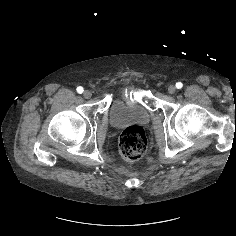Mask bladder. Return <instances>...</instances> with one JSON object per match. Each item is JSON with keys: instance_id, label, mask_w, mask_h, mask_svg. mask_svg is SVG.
<instances>
[{"instance_id": "obj_1", "label": "bladder", "mask_w": 236, "mask_h": 236, "mask_svg": "<svg viewBox=\"0 0 236 236\" xmlns=\"http://www.w3.org/2000/svg\"><path fill=\"white\" fill-rule=\"evenodd\" d=\"M148 118V111L137 101H126L116 98L109 108L110 123L114 127H119L131 120L143 121Z\"/></svg>"}]
</instances>
